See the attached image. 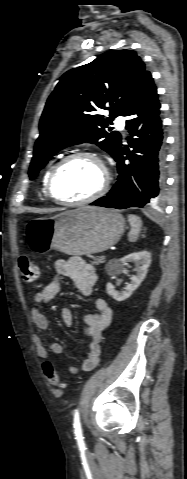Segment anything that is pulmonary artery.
Returning a JSON list of instances; mask_svg holds the SVG:
<instances>
[{
  "mask_svg": "<svg viewBox=\"0 0 187 479\" xmlns=\"http://www.w3.org/2000/svg\"><path fill=\"white\" fill-rule=\"evenodd\" d=\"M115 123H116V126H117L119 129H122V128L124 127V125H125L124 118H123L122 116H118V117L116 118Z\"/></svg>",
  "mask_w": 187,
  "mask_h": 479,
  "instance_id": "e3ab8cb5",
  "label": "pulmonary artery"
}]
</instances>
